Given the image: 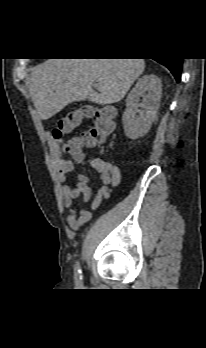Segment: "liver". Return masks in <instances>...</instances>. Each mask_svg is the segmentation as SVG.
<instances>
[{
	"mask_svg": "<svg viewBox=\"0 0 206 348\" xmlns=\"http://www.w3.org/2000/svg\"><path fill=\"white\" fill-rule=\"evenodd\" d=\"M144 69V59H47L33 68L29 91L40 118L47 120L75 101H120Z\"/></svg>",
	"mask_w": 206,
	"mask_h": 348,
	"instance_id": "liver-1",
	"label": "liver"
}]
</instances>
